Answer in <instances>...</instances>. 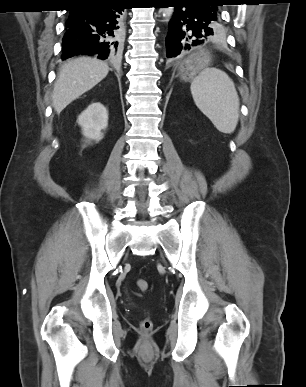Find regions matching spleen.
I'll use <instances>...</instances> for the list:
<instances>
[{
  "label": "spleen",
  "instance_id": "1",
  "mask_svg": "<svg viewBox=\"0 0 306 387\" xmlns=\"http://www.w3.org/2000/svg\"><path fill=\"white\" fill-rule=\"evenodd\" d=\"M196 106L222 133H232L239 118V97L235 85L223 71L203 69L191 83Z\"/></svg>",
  "mask_w": 306,
  "mask_h": 387
}]
</instances>
